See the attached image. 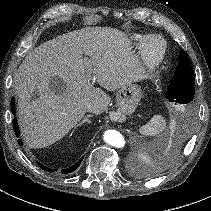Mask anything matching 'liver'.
<instances>
[{
    "label": "liver",
    "instance_id": "obj_1",
    "mask_svg": "<svg viewBox=\"0 0 211 211\" xmlns=\"http://www.w3.org/2000/svg\"><path fill=\"white\" fill-rule=\"evenodd\" d=\"M137 65L131 41L107 27H85L34 48L14 76L26 144L43 148L63 138L84 117L87 103L94 114L103 113L111 98L91 80L115 91L136 80ZM54 77L63 83L59 93L50 84Z\"/></svg>",
    "mask_w": 211,
    "mask_h": 211
}]
</instances>
